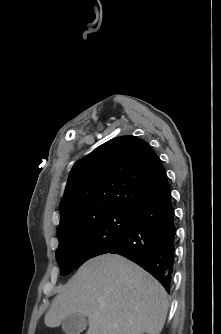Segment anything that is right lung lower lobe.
Returning a JSON list of instances; mask_svg holds the SVG:
<instances>
[{
    "label": "right lung lower lobe",
    "instance_id": "98d812e1",
    "mask_svg": "<svg viewBox=\"0 0 221 334\" xmlns=\"http://www.w3.org/2000/svg\"><path fill=\"white\" fill-rule=\"evenodd\" d=\"M176 226L168 182L132 215L115 247L105 251L122 255L151 273L170 290L175 256Z\"/></svg>",
    "mask_w": 221,
    "mask_h": 334
}]
</instances>
